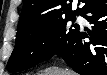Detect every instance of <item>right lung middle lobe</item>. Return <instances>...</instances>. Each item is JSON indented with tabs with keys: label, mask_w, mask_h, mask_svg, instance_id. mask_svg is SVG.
<instances>
[{
	"label": "right lung middle lobe",
	"mask_w": 107,
	"mask_h": 75,
	"mask_svg": "<svg viewBox=\"0 0 107 75\" xmlns=\"http://www.w3.org/2000/svg\"><path fill=\"white\" fill-rule=\"evenodd\" d=\"M75 19L76 14H71L36 28L18 27L8 71L26 70L55 56L79 32V25L73 23Z\"/></svg>",
	"instance_id": "obj_1"
}]
</instances>
